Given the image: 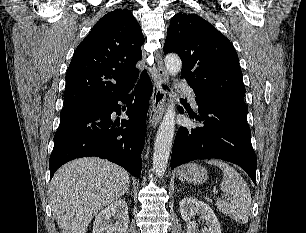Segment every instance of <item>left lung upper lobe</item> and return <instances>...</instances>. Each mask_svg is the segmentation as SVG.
Returning a JSON list of instances; mask_svg holds the SVG:
<instances>
[{
    "label": "left lung upper lobe",
    "instance_id": "obj_1",
    "mask_svg": "<svg viewBox=\"0 0 306 233\" xmlns=\"http://www.w3.org/2000/svg\"><path fill=\"white\" fill-rule=\"evenodd\" d=\"M164 52L181 57V75L196 96L244 102L242 72L232 43L200 16L178 13L172 17Z\"/></svg>",
    "mask_w": 306,
    "mask_h": 233
}]
</instances>
